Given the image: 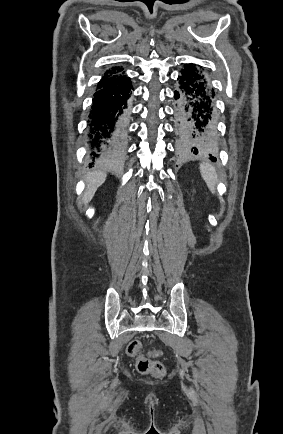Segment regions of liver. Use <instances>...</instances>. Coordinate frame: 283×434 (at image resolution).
I'll return each mask as SVG.
<instances>
[{
	"instance_id": "1",
	"label": "liver",
	"mask_w": 283,
	"mask_h": 434,
	"mask_svg": "<svg viewBox=\"0 0 283 434\" xmlns=\"http://www.w3.org/2000/svg\"><path fill=\"white\" fill-rule=\"evenodd\" d=\"M106 179V173L94 172L86 176L87 187L82 197V204L86 205L94 196L96 190Z\"/></svg>"
}]
</instances>
